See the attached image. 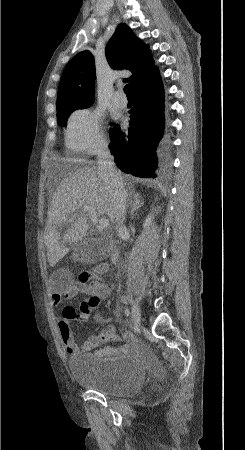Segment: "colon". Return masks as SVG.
Returning <instances> with one entry per match:
<instances>
[{
	"mask_svg": "<svg viewBox=\"0 0 245 450\" xmlns=\"http://www.w3.org/2000/svg\"><path fill=\"white\" fill-rule=\"evenodd\" d=\"M105 268L103 266H99L97 270H104ZM93 276L94 272L91 271H84L75 279V287L76 290L79 292H82L84 294H92L93 293ZM97 304V301L92 299V297L86 299L83 303V309L85 310H91L95 305ZM63 315L67 319H78L79 314L75 312L72 308L66 307L63 309ZM100 338L103 341H111L117 339V336L112 331H103L100 335Z\"/></svg>",
	"mask_w": 245,
	"mask_h": 450,
	"instance_id": "1",
	"label": "colon"
}]
</instances>
